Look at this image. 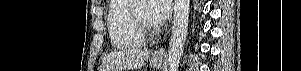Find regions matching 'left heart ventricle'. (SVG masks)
Returning a JSON list of instances; mask_svg holds the SVG:
<instances>
[{
	"instance_id": "left-heart-ventricle-1",
	"label": "left heart ventricle",
	"mask_w": 301,
	"mask_h": 71,
	"mask_svg": "<svg viewBox=\"0 0 301 71\" xmlns=\"http://www.w3.org/2000/svg\"><path fill=\"white\" fill-rule=\"evenodd\" d=\"M136 8L139 15L148 23L153 24L149 15V5L145 1H139L136 3Z\"/></svg>"
}]
</instances>
